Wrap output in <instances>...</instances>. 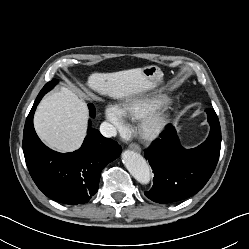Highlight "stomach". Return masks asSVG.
<instances>
[{
	"label": "stomach",
	"instance_id": "0dacf381",
	"mask_svg": "<svg viewBox=\"0 0 249 249\" xmlns=\"http://www.w3.org/2000/svg\"><path fill=\"white\" fill-rule=\"evenodd\" d=\"M141 71L146 79H148L153 85L160 83L162 80V71L157 66H144L141 68Z\"/></svg>",
	"mask_w": 249,
	"mask_h": 249
}]
</instances>
